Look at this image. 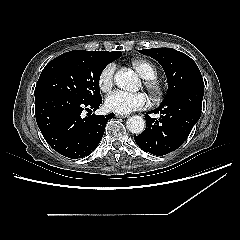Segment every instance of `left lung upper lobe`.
<instances>
[{"instance_id": "left-lung-upper-lobe-1", "label": "left lung upper lobe", "mask_w": 240, "mask_h": 240, "mask_svg": "<svg viewBox=\"0 0 240 240\" xmlns=\"http://www.w3.org/2000/svg\"><path fill=\"white\" fill-rule=\"evenodd\" d=\"M139 52L157 60L165 71L168 92L163 102L185 89L204 86L196 63L186 54L172 48L144 49Z\"/></svg>"}]
</instances>
